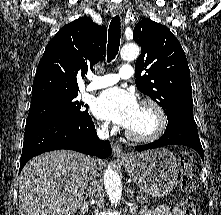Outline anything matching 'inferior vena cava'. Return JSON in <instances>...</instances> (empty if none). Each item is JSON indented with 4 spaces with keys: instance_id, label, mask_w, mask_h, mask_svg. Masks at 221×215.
Wrapping results in <instances>:
<instances>
[{
    "instance_id": "1",
    "label": "inferior vena cava",
    "mask_w": 221,
    "mask_h": 215,
    "mask_svg": "<svg viewBox=\"0 0 221 215\" xmlns=\"http://www.w3.org/2000/svg\"><path fill=\"white\" fill-rule=\"evenodd\" d=\"M98 136L99 138L103 139V140H107L109 138V133H108V129L106 128H101L98 130ZM91 176L89 178V189H88V194L87 196H90L91 195V186H93L96 181H95V176H96V172H95V168L92 164V167H91Z\"/></svg>"
}]
</instances>
